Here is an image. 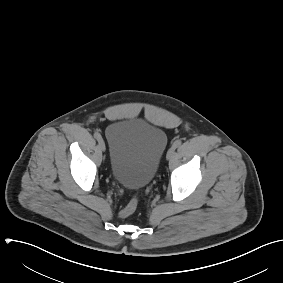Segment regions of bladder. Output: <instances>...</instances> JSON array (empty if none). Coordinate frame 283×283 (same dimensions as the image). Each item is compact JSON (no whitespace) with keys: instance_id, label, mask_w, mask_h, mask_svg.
Returning a JSON list of instances; mask_svg holds the SVG:
<instances>
[{"instance_id":"31cf9c89","label":"bladder","mask_w":283,"mask_h":283,"mask_svg":"<svg viewBox=\"0 0 283 283\" xmlns=\"http://www.w3.org/2000/svg\"><path fill=\"white\" fill-rule=\"evenodd\" d=\"M113 179L129 189L149 185L167 147L166 132L143 119L111 123L106 128Z\"/></svg>"}]
</instances>
